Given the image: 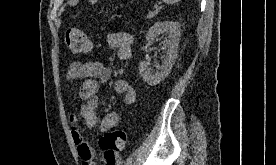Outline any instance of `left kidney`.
Wrapping results in <instances>:
<instances>
[{
  "mask_svg": "<svg viewBox=\"0 0 276 165\" xmlns=\"http://www.w3.org/2000/svg\"><path fill=\"white\" fill-rule=\"evenodd\" d=\"M160 34H168V40L166 39L164 42V47L167 48V51L162 65L157 71H153L150 68L149 61H142L139 64L140 75L149 85H157L169 75L177 58L180 39V24L173 21L156 22L146 34V40L149 43H152L156 36Z\"/></svg>",
  "mask_w": 276,
  "mask_h": 165,
  "instance_id": "5707ae66",
  "label": "left kidney"
}]
</instances>
